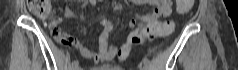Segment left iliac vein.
Masks as SVG:
<instances>
[{"mask_svg": "<svg viewBox=\"0 0 238 70\" xmlns=\"http://www.w3.org/2000/svg\"><path fill=\"white\" fill-rule=\"evenodd\" d=\"M141 70H148V67H147L146 65H143V66L141 67Z\"/></svg>", "mask_w": 238, "mask_h": 70, "instance_id": "left-iliac-vein-1", "label": "left iliac vein"}]
</instances>
